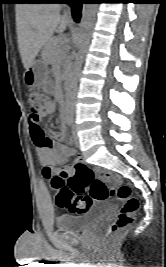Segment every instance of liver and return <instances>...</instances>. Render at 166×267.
<instances>
[{
  "label": "liver",
  "mask_w": 166,
  "mask_h": 267,
  "mask_svg": "<svg viewBox=\"0 0 166 267\" xmlns=\"http://www.w3.org/2000/svg\"><path fill=\"white\" fill-rule=\"evenodd\" d=\"M15 11L18 48L23 66L28 69L54 32L65 31L69 19L60 15L57 4L18 3Z\"/></svg>",
  "instance_id": "6515ba94"
}]
</instances>
